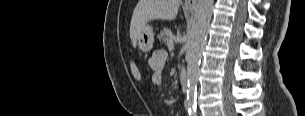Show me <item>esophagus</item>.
Wrapping results in <instances>:
<instances>
[{"instance_id": "obj_1", "label": "esophagus", "mask_w": 305, "mask_h": 116, "mask_svg": "<svg viewBox=\"0 0 305 116\" xmlns=\"http://www.w3.org/2000/svg\"><path fill=\"white\" fill-rule=\"evenodd\" d=\"M198 0H185L183 7L187 10H195Z\"/></svg>"}]
</instances>
